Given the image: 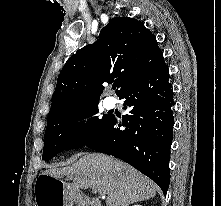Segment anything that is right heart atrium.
Segmentation results:
<instances>
[{
	"label": "right heart atrium",
	"mask_w": 221,
	"mask_h": 206,
	"mask_svg": "<svg viewBox=\"0 0 221 206\" xmlns=\"http://www.w3.org/2000/svg\"><path fill=\"white\" fill-rule=\"evenodd\" d=\"M85 122H86V117L84 115H78L75 119V123L76 125L79 127V128H82L84 127L85 125Z\"/></svg>",
	"instance_id": "d8ad5b80"
}]
</instances>
